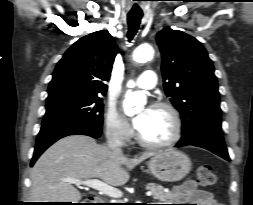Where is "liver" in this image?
Wrapping results in <instances>:
<instances>
[{
  "label": "liver",
  "mask_w": 253,
  "mask_h": 205,
  "mask_svg": "<svg viewBox=\"0 0 253 205\" xmlns=\"http://www.w3.org/2000/svg\"><path fill=\"white\" fill-rule=\"evenodd\" d=\"M154 155L146 152L130 159L97 144L89 136L64 137L49 147L32 168L31 199L78 203L81 193L65 179L99 178L108 185L121 186L130 178L128 170Z\"/></svg>",
  "instance_id": "liver-1"
}]
</instances>
